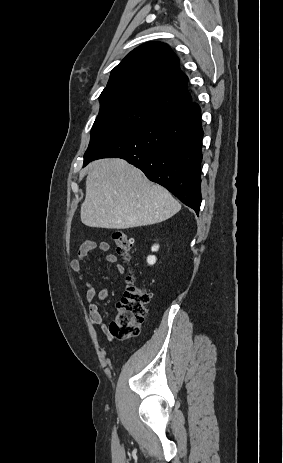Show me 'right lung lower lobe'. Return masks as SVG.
Segmentation results:
<instances>
[{
    "mask_svg": "<svg viewBox=\"0 0 283 463\" xmlns=\"http://www.w3.org/2000/svg\"><path fill=\"white\" fill-rule=\"evenodd\" d=\"M200 112L192 101L160 112L84 157V166L99 158L125 159L199 214L203 137Z\"/></svg>",
    "mask_w": 283,
    "mask_h": 463,
    "instance_id": "obj_1",
    "label": "right lung lower lobe"
}]
</instances>
